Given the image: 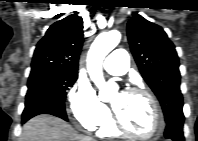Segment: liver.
I'll return each instance as SVG.
<instances>
[{"label":"liver","instance_id":"1","mask_svg":"<svg viewBox=\"0 0 198 141\" xmlns=\"http://www.w3.org/2000/svg\"><path fill=\"white\" fill-rule=\"evenodd\" d=\"M20 141H91V138L78 134L60 118L39 115L23 126Z\"/></svg>","mask_w":198,"mask_h":141}]
</instances>
